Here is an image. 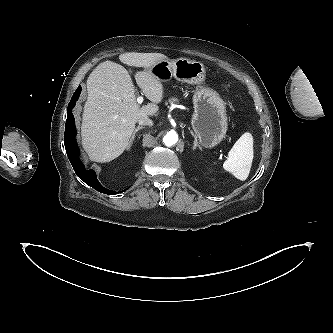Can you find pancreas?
Wrapping results in <instances>:
<instances>
[{
  "label": "pancreas",
  "instance_id": "cf45deb5",
  "mask_svg": "<svg viewBox=\"0 0 333 333\" xmlns=\"http://www.w3.org/2000/svg\"><path fill=\"white\" fill-rule=\"evenodd\" d=\"M178 99H175V98H172V99H169V103L170 104H173L174 102H176Z\"/></svg>",
  "mask_w": 333,
  "mask_h": 333
}]
</instances>
